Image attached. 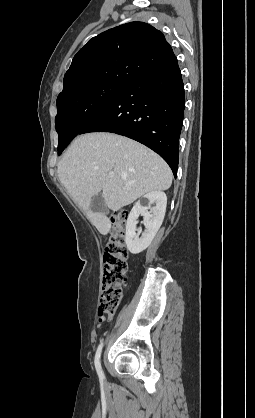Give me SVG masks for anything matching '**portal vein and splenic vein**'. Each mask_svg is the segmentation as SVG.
<instances>
[{
    "mask_svg": "<svg viewBox=\"0 0 255 418\" xmlns=\"http://www.w3.org/2000/svg\"><path fill=\"white\" fill-rule=\"evenodd\" d=\"M109 176H110V177H113V176H114V173H113V172H110V173H109Z\"/></svg>",
    "mask_w": 255,
    "mask_h": 418,
    "instance_id": "1",
    "label": "portal vein and splenic vein"
}]
</instances>
